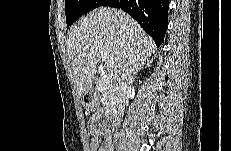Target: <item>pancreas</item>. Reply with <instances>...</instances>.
<instances>
[{
    "instance_id": "pancreas-1",
    "label": "pancreas",
    "mask_w": 231,
    "mask_h": 151,
    "mask_svg": "<svg viewBox=\"0 0 231 151\" xmlns=\"http://www.w3.org/2000/svg\"><path fill=\"white\" fill-rule=\"evenodd\" d=\"M98 85L103 95V104L106 106V109L111 108L116 93L114 85L104 77L101 78Z\"/></svg>"
}]
</instances>
